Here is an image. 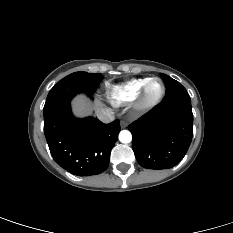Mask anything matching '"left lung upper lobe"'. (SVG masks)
<instances>
[{"label": "left lung upper lobe", "mask_w": 233, "mask_h": 233, "mask_svg": "<svg viewBox=\"0 0 233 233\" xmlns=\"http://www.w3.org/2000/svg\"><path fill=\"white\" fill-rule=\"evenodd\" d=\"M160 75H161V78L163 79V81L166 85V92H169V91L181 86V84L178 81L174 80L170 76L163 74V73H161Z\"/></svg>", "instance_id": "5c2ea615"}]
</instances>
